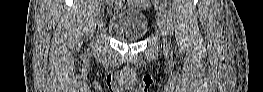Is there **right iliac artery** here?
I'll return each instance as SVG.
<instances>
[{
  "mask_svg": "<svg viewBox=\"0 0 263 92\" xmlns=\"http://www.w3.org/2000/svg\"><path fill=\"white\" fill-rule=\"evenodd\" d=\"M97 2H102V0H97Z\"/></svg>",
  "mask_w": 263,
  "mask_h": 92,
  "instance_id": "1",
  "label": "right iliac artery"
}]
</instances>
